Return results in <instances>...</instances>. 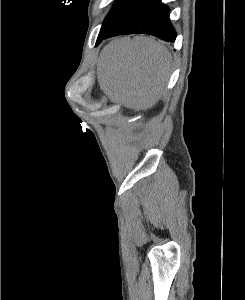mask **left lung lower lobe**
Masks as SVG:
<instances>
[{
	"instance_id": "left-lung-lower-lobe-1",
	"label": "left lung lower lobe",
	"mask_w": 245,
	"mask_h": 300,
	"mask_svg": "<svg viewBox=\"0 0 245 300\" xmlns=\"http://www.w3.org/2000/svg\"><path fill=\"white\" fill-rule=\"evenodd\" d=\"M134 33L150 34L174 42L176 33L169 20V8L161 0H145L128 11L107 32L99 34L96 44L103 39Z\"/></svg>"
}]
</instances>
